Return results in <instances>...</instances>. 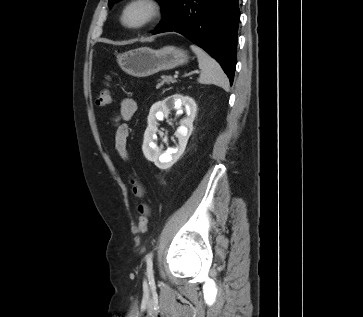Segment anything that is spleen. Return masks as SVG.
<instances>
[{"mask_svg":"<svg viewBox=\"0 0 363 317\" xmlns=\"http://www.w3.org/2000/svg\"><path fill=\"white\" fill-rule=\"evenodd\" d=\"M190 48L197 55L201 74L198 81L202 84H215L226 91L229 89V80L220 64L208 53L196 45Z\"/></svg>","mask_w":363,"mask_h":317,"instance_id":"spleen-1","label":"spleen"}]
</instances>
